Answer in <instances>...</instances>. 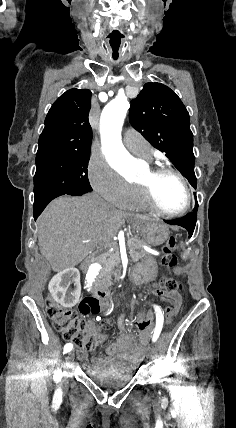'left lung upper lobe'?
I'll return each mask as SVG.
<instances>
[{"mask_svg":"<svg viewBox=\"0 0 236 428\" xmlns=\"http://www.w3.org/2000/svg\"><path fill=\"white\" fill-rule=\"evenodd\" d=\"M129 119L153 147L166 153L196 188L189 114L177 94L161 83H146L131 101Z\"/></svg>","mask_w":236,"mask_h":428,"instance_id":"obj_1","label":"left lung upper lobe"}]
</instances>
